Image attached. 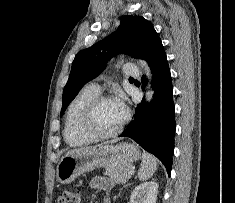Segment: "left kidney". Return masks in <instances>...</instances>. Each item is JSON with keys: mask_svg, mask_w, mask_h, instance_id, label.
<instances>
[{"mask_svg": "<svg viewBox=\"0 0 235 203\" xmlns=\"http://www.w3.org/2000/svg\"><path fill=\"white\" fill-rule=\"evenodd\" d=\"M157 193V182H144L134 188L130 196V203H156Z\"/></svg>", "mask_w": 235, "mask_h": 203, "instance_id": "5707ae66", "label": "left kidney"}]
</instances>
